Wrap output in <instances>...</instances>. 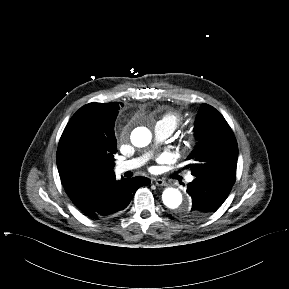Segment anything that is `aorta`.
<instances>
[{"mask_svg": "<svg viewBox=\"0 0 289 289\" xmlns=\"http://www.w3.org/2000/svg\"><path fill=\"white\" fill-rule=\"evenodd\" d=\"M132 144L136 147H145L151 142V132L146 127L135 129L131 136ZM164 205L173 210L187 212L190 209V203H184L181 192L176 188H166L162 194Z\"/></svg>", "mask_w": 289, "mask_h": 289, "instance_id": "obj_1", "label": "aorta"}]
</instances>
